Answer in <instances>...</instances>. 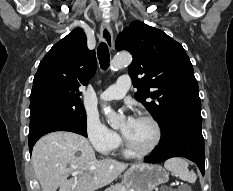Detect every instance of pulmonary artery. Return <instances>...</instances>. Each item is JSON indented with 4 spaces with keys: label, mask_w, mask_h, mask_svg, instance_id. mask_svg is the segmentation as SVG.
<instances>
[{
    "label": "pulmonary artery",
    "mask_w": 233,
    "mask_h": 191,
    "mask_svg": "<svg viewBox=\"0 0 233 191\" xmlns=\"http://www.w3.org/2000/svg\"><path fill=\"white\" fill-rule=\"evenodd\" d=\"M131 81L130 77L123 75L118 78L117 82L109 86L105 91L100 95V99L103 101H114L122 99L128 89L130 88Z\"/></svg>",
    "instance_id": "obj_1"
}]
</instances>
